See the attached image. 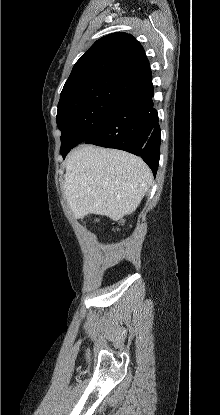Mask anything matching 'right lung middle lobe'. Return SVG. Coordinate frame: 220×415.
<instances>
[{
    "mask_svg": "<svg viewBox=\"0 0 220 415\" xmlns=\"http://www.w3.org/2000/svg\"><path fill=\"white\" fill-rule=\"evenodd\" d=\"M139 87L118 78H98L74 84L60 95L57 124L61 148H73L95 133L109 113Z\"/></svg>",
    "mask_w": 220,
    "mask_h": 415,
    "instance_id": "right-lung-middle-lobe-1",
    "label": "right lung middle lobe"
}]
</instances>
